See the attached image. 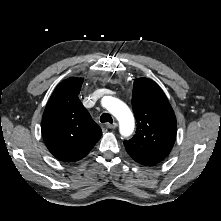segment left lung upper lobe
<instances>
[{
    "label": "left lung upper lobe",
    "mask_w": 221,
    "mask_h": 221,
    "mask_svg": "<svg viewBox=\"0 0 221 221\" xmlns=\"http://www.w3.org/2000/svg\"><path fill=\"white\" fill-rule=\"evenodd\" d=\"M132 108L137 130L132 139L124 141L125 149L136 162L154 166L167 157L174 145V111L162 89L147 78L134 81Z\"/></svg>",
    "instance_id": "5c2ea615"
}]
</instances>
